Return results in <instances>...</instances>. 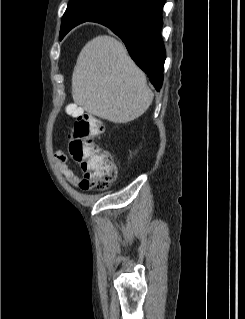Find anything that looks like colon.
Returning <instances> with one entry per match:
<instances>
[{
    "label": "colon",
    "mask_w": 245,
    "mask_h": 319,
    "mask_svg": "<svg viewBox=\"0 0 245 319\" xmlns=\"http://www.w3.org/2000/svg\"><path fill=\"white\" fill-rule=\"evenodd\" d=\"M69 111L76 114V119L67 136V151L82 173L80 187L105 190L116 179L117 169L110 154L92 142L103 134L104 124L98 118L78 113L75 106Z\"/></svg>",
    "instance_id": "1"
}]
</instances>
